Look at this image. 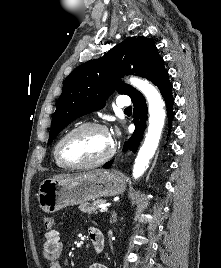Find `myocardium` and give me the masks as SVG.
I'll list each match as a JSON object with an SVG mask.
<instances>
[{
    "mask_svg": "<svg viewBox=\"0 0 221 268\" xmlns=\"http://www.w3.org/2000/svg\"><path fill=\"white\" fill-rule=\"evenodd\" d=\"M85 129H99L102 130L106 133L109 134L108 129L105 125L97 123V122H87V123H82L76 127H74L73 129L69 130L66 134H64L60 140L57 142L56 146H55V150H54V155L56 160L63 166L66 168H71V169H82V168H90V167H95V166H99L102 165L106 162H108L115 154V147L114 145H112L111 150L104 155L103 157L93 160V161H88V162H81V163H75V162H70L67 161L63 156H62V146L64 144V142L73 134L85 130Z\"/></svg>",
    "mask_w": 221,
    "mask_h": 268,
    "instance_id": "1",
    "label": "myocardium"
}]
</instances>
